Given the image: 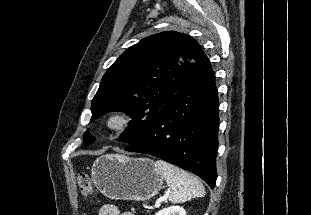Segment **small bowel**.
<instances>
[{
  "mask_svg": "<svg viewBox=\"0 0 311 215\" xmlns=\"http://www.w3.org/2000/svg\"><path fill=\"white\" fill-rule=\"evenodd\" d=\"M98 215H134V214L131 212H124L120 214L118 208L115 205L105 204L100 208Z\"/></svg>",
  "mask_w": 311,
  "mask_h": 215,
  "instance_id": "small-bowel-1",
  "label": "small bowel"
}]
</instances>
